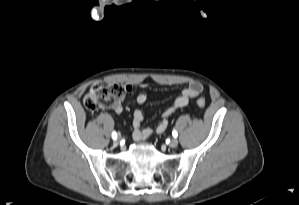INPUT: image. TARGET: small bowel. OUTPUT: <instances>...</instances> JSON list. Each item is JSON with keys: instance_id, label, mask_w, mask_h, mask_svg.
<instances>
[{"instance_id": "obj_1", "label": "small bowel", "mask_w": 299, "mask_h": 205, "mask_svg": "<svg viewBox=\"0 0 299 205\" xmlns=\"http://www.w3.org/2000/svg\"><path fill=\"white\" fill-rule=\"evenodd\" d=\"M127 91H131V86H127ZM202 92V85L199 82H191L188 84L186 88H184L180 95L174 99L172 104L164 110V112L161 115L160 121L155 129L157 133H163L169 123V117L175 113V111L179 108L186 107L190 101L200 95ZM147 101V95L144 93H141L137 95L135 99V103L139 106L144 104ZM113 111L117 114H120L123 111V107L121 104H117L112 107ZM145 116L141 109L136 108L133 112V119H132V125H133V138L136 141H143L146 140L151 136L153 133V130L151 128H143L142 123L144 122Z\"/></svg>"}]
</instances>
